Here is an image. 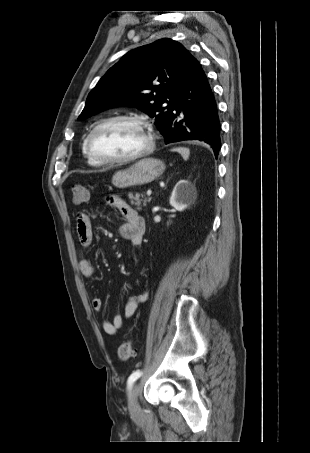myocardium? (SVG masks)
Segmentation results:
<instances>
[{"mask_svg": "<svg viewBox=\"0 0 310 453\" xmlns=\"http://www.w3.org/2000/svg\"><path fill=\"white\" fill-rule=\"evenodd\" d=\"M119 121L130 122V123H133V124L139 126L145 132V135L147 138V144L145 145L144 148H142L138 152H136L130 156L123 157V158H108V157H104V156L97 154L93 148L94 135L96 134V132L98 130H100L104 126H107L111 123L119 122ZM154 146H155V141H154V135H153L151 125L143 118H141L139 116H134V115H116V116H112V117L103 119L92 128V130L89 132V134L87 135V138H86V149L88 151V154L95 161H97L101 164L115 165V164H126V163L136 161L144 156L149 155L153 151Z\"/></svg>", "mask_w": 310, "mask_h": 453, "instance_id": "f54148a6", "label": "myocardium"}]
</instances>
